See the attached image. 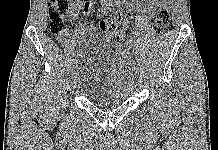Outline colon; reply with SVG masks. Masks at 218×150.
Returning <instances> with one entry per match:
<instances>
[{
    "mask_svg": "<svg viewBox=\"0 0 218 150\" xmlns=\"http://www.w3.org/2000/svg\"><path fill=\"white\" fill-rule=\"evenodd\" d=\"M72 0H50L49 2V23L50 31L54 35L62 32L63 22L71 10ZM123 22V16L120 13L113 14L110 18L99 23V28L105 33L110 34L115 40H122L125 37V29L119 26ZM170 22V13L168 9H161L155 16L152 31L155 35L162 34Z\"/></svg>",
    "mask_w": 218,
    "mask_h": 150,
    "instance_id": "obj_1",
    "label": "colon"
}]
</instances>
